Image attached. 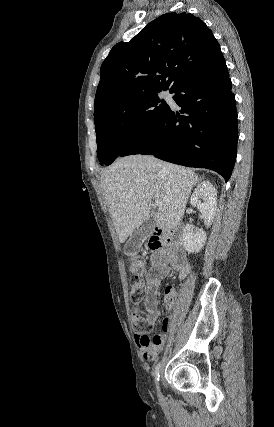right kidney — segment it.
Instances as JSON below:
<instances>
[{"instance_id":"ca27d5eb","label":"right kidney","mask_w":274,"mask_h":427,"mask_svg":"<svg viewBox=\"0 0 274 427\" xmlns=\"http://www.w3.org/2000/svg\"><path fill=\"white\" fill-rule=\"evenodd\" d=\"M191 206L198 208L200 217L204 219L205 225L209 227L217 212V192L210 182L198 184L190 198ZM206 233L203 229L194 231L191 223H186L183 229L182 241L189 253H197L206 243Z\"/></svg>"}]
</instances>
